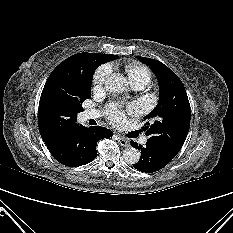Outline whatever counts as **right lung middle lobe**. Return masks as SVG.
Returning <instances> with one entry per match:
<instances>
[{
	"label": "right lung middle lobe",
	"mask_w": 233,
	"mask_h": 233,
	"mask_svg": "<svg viewBox=\"0 0 233 233\" xmlns=\"http://www.w3.org/2000/svg\"><path fill=\"white\" fill-rule=\"evenodd\" d=\"M106 60L101 54L84 53L82 70L71 79L47 80L39 102V131L55 133L76 123L82 103L91 97L94 71Z\"/></svg>",
	"instance_id": "obj_1"
}]
</instances>
